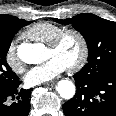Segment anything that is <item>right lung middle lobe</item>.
Listing matches in <instances>:
<instances>
[{
	"label": "right lung middle lobe",
	"mask_w": 116,
	"mask_h": 116,
	"mask_svg": "<svg viewBox=\"0 0 116 116\" xmlns=\"http://www.w3.org/2000/svg\"><path fill=\"white\" fill-rule=\"evenodd\" d=\"M29 23V21L24 20L15 25H0V88L9 86L18 80V76L7 64L6 55L13 36L21 27L28 25Z\"/></svg>",
	"instance_id": "1"
}]
</instances>
